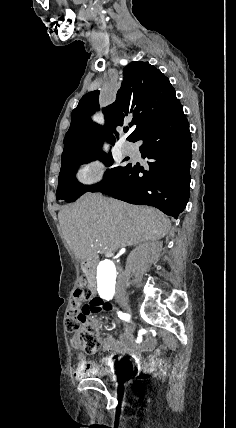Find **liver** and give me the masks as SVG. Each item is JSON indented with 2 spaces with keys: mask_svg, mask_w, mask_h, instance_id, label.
Wrapping results in <instances>:
<instances>
[{
  "mask_svg": "<svg viewBox=\"0 0 236 428\" xmlns=\"http://www.w3.org/2000/svg\"><path fill=\"white\" fill-rule=\"evenodd\" d=\"M58 220L77 260L111 256L118 248L161 240L171 228L170 220L156 208L130 206L102 194H84L73 206L60 210Z\"/></svg>",
  "mask_w": 236,
  "mask_h": 428,
  "instance_id": "liver-1",
  "label": "liver"
}]
</instances>
